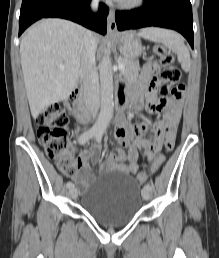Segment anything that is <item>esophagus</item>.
<instances>
[{"mask_svg": "<svg viewBox=\"0 0 219 258\" xmlns=\"http://www.w3.org/2000/svg\"><path fill=\"white\" fill-rule=\"evenodd\" d=\"M107 29L108 33H115L117 30V25L115 22V11L113 9H110L107 17Z\"/></svg>", "mask_w": 219, "mask_h": 258, "instance_id": "obj_1", "label": "esophagus"}]
</instances>
